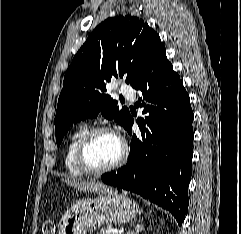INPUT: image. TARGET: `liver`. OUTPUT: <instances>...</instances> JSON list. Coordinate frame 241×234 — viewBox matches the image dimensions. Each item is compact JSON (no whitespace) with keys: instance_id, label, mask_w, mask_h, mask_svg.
Instances as JSON below:
<instances>
[{"instance_id":"liver-1","label":"liver","mask_w":241,"mask_h":234,"mask_svg":"<svg viewBox=\"0 0 241 234\" xmlns=\"http://www.w3.org/2000/svg\"><path fill=\"white\" fill-rule=\"evenodd\" d=\"M61 181H63L68 186H71L76 190L84 192L105 193L109 190V187L98 181H78L69 179H62Z\"/></svg>"}]
</instances>
